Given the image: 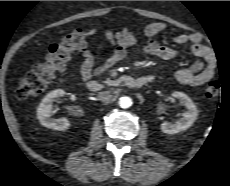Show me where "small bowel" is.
Segmentation results:
<instances>
[{
  "label": "small bowel",
  "instance_id": "small-bowel-1",
  "mask_svg": "<svg viewBox=\"0 0 230 186\" xmlns=\"http://www.w3.org/2000/svg\"><path fill=\"white\" fill-rule=\"evenodd\" d=\"M167 29V25L162 22H154L148 24L144 28V35L147 39L142 48V52L159 57L163 60H174L179 56V52L169 46L161 45L154 40V37ZM94 28L88 29L89 33H93ZM107 41L112 46L113 50L107 58L105 64L95 68V59L90 50L85 49L82 52L83 62L79 70V78L88 80L95 75H98L106 68L123 60L137 42V36L128 28L120 30H107L105 32ZM174 42L179 45L190 44L189 53L195 60L187 67L175 72L174 78L176 81L189 86H200L211 80L217 70L216 55L213 50L199 42V37L192 33L177 34L173 38ZM143 78L146 82L154 80L153 75H145Z\"/></svg>",
  "mask_w": 230,
  "mask_h": 186
}]
</instances>
